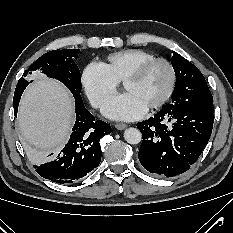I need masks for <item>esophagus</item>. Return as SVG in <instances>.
<instances>
[{"label":"esophagus","instance_id":"obj_1","mask_svg":"<svg viewBox=\"0 0 233 233\" xmlns=\"http://www.w3.org/2000/svg\"><path fill=\"white\" fill-rule=\"evenodd\" d=\"M115 127H116V129H118V130H124L125 128H127V125L124 124V123H116V124H115Z\"/></svg>","mask_w":233,"mask_h":233}]
</instances>
